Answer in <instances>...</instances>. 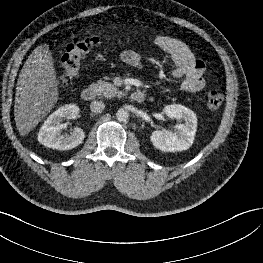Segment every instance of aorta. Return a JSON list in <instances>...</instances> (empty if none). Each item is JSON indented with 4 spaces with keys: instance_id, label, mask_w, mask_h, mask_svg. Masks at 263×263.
Here are the masks:
<instances>
[{
    "instance_id": "obj_1",
    "label": "aorta",
    "mask_w": 263,
    "mask_h": 263,
    "mask_svg": "<svg viewBox=\"0 0 263 263\" xmlns=\"http://www.w3.org/2000/svg\"><path fill=\"white\" fill-rule=\"evenodd\" d=\"M116 118L119 122H126L129 119V113L127 110L121 108L116 112Z\"/></svg>"
}]
</instances>
